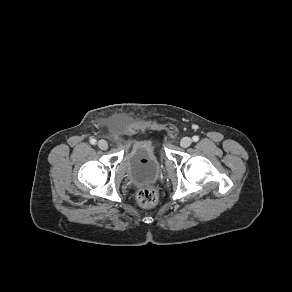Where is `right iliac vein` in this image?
Wrapping results in <instances>:
<instances>
[{
  "label": "right iliac vein",
  "instance_id": "right-iliac-vein-1",
  "mask_svg": "<svg viewBox=\"0 0 292 292\" xmlns=\"http://www.w3.org/2000/svg\"><path fill=\"white\" fill-rule=\"evenodd\" d=\"M98 147L101 150H107L108 149V143H107V141H105V140H99L98 141Z\"/></svg>",
  "mask_w": 292,
  "mask_h": 292
}]
</instances>
